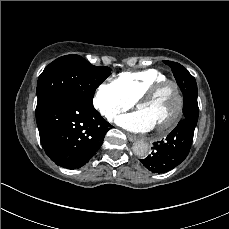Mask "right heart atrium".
<instances>
[{
    "mask_svg": "<svg viewBox=\"0 0 229 229\" xmlns=\"http://www.w3.org/2000/svg\"><path fill=\"white\" fill-rule=\"evenodd\" d=\"M95 109L108 120H113L119 113L134 106L117 81L102 82L93 97Z\"/></svg>",
    "mask_w": 229,
    "mask_h": 229,
    "instance_id": "d8ad5b80",
    "label": "right heart atrium"
}]
</instances>
